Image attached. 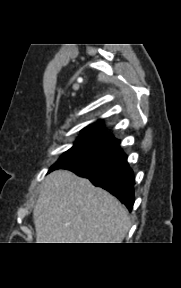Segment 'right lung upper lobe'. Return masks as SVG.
<instances>
[{
    "label": "right lung upper lobe",
    "mask_w": 181,
    "mask_h": 288,
    "mask_svg": "<svg viewBox=\"0 0 181 288\" xmlns=\"http://www.w3.org/2000/svg\"><path fill=\"white\" fill-rule=\"evenodd\" d=\"M77 141L110 151L114 153L115 157L124 154L119 148V141L104 131L101 120L96 125H89L84 128Z\"/></svg>",
    "instance_id": "1"
}]
</instances>
